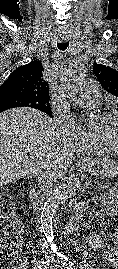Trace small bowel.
<instances>
[{
  "mask_svg": "<svg viewBox=\"0 0 118 269\" xmlns=\"http://www.w3.org/2000/svg\"><path fill=\"white\" fill-rule=\"evenodd\" d=\"M107 203L109 204L111 213L118 215V194L114 195ZM111 240L113 244H118V231L112 235ZM88 245L93 249L103 251L107 261L118 267V251L109 246L101 236L97 234L90 235L88 237ZM17 269L28 268L24 264H21Z\"/></svg>",
  "mask_w": 118,
  "mask_h": 269,
  "instance_id": "c3829d8e",
  "label": "small bowel"
}]
</instances>
